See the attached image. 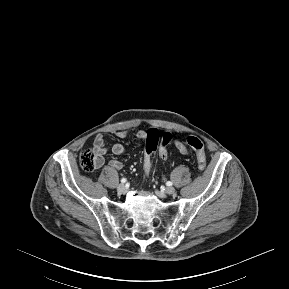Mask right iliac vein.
I'll return each instance as SVG.
<instances>
[{"label":"right iliac vein","instance_id":"right-iliac-vein-1","mask_svg":"<svg viewBox=\"0 0 289 289\" xmlns=\"http://www.w3.org/2000/svg\"><path fill=\"white\" fill-rule=\"evenodd\" d=\"M126 191H127V188H126V186L124 184L118 185L117 192L119 194H124Z\"/></svg>","mask_w":289,"mask_h":289}]
</instances>
